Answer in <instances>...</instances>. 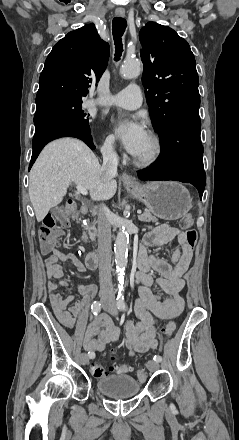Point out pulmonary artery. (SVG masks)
I'll use <instances>...</instances> for the list:
<instances>
[{
    "mask_svg": "<svg viewBox=\"0 0 239 440\" xmlns=\"http://www.w3.org/2000/svg\"><path fill=\"white\" fill-rule=\"evenodd\" d=\"M142 97L137 85H130L121 92L108 97H96L89 100L91 106H117L126 109H136L141 106Z\"/></svg>",
    "mask_w": 239,
    "mask_h": 440,
    "instance_id": "1",
    "label": "pulmonary artery"
}]
</instances>
